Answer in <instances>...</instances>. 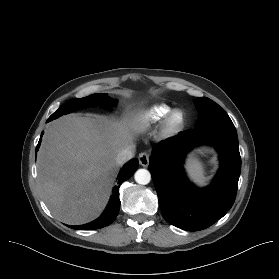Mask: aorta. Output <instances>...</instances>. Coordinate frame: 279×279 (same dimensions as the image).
Returning <instances> with one entry per match:
<instances>
[{"label":"aorta","mask_w":279,"mask_h":279,"mask_svg":"<svg viewBox=\"0 0 279 279\" xmlns=\"http://www.w3.org/2000/svg\"><path fill=\"white\" fill-rule=\"evenodd\" d=\"M134 178L138 184L146 185L151 180V174L146 169H138L134 175Z\"/></svg>","instance_id":"aorta-1"}]
</instances>
